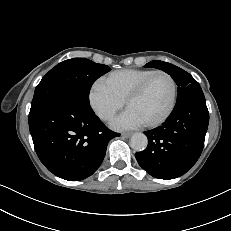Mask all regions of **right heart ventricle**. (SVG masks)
<instances>
[{"instance_id": "1", "label": "right heart ventricle", "mask_w": 231, "mask_h": 231, "mask_svg": "<svg viewBox=\"0 0 231 231\" xmlns=\"http://www.w3.org/2000/svg\"><path fill=\"white\" fill-rule=\"evenodd\" d=\"M153 71L152 69H122L111 72L102 81L114 94L125 101L130 92Z\"/></svg>"}]
</instances>
